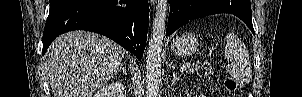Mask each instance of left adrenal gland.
Returning <instances> with one entry per match:
<instances>
[{"mask_svg":"<svg viewBox=\"0 0 302 97\" xmlns=\"http://www.w3.org/2000/svg\"><path fill=\"white\" fill-rule=\"evenodd\" d=\"M180 77H177V74L174 73V71H172V84H175L176 82L180 81Z\"/></svg>","mask_w":302,"mask_h":97,"instance_id":"obj_1","label":"left adrenal gland"}]
</instances>
